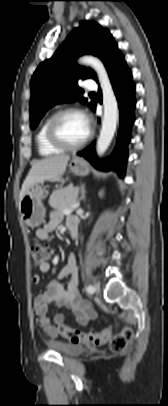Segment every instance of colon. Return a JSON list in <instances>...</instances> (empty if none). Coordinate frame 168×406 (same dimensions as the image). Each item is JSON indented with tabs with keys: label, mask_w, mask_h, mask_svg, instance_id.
I'll use <instances>...</instances> for the list:
<instances>
[{
	"label": "colon",
	"mask_w": 168,
	"mask_h": 406,
	"mask_svg": "<svg viewBox=\"0 0 168 406\" xmlns=\"http://www.w3.org/2000/svg\"><path fill=\"white\" fill-rule=\"evenodd\" d=\"M50 256V249L48 246L40 243L33 242L31 245V259L34 265L42 266L47 263ZM56 329L58 332L73 343H91L94 345L105 344L110 339V348L115 353L123 352L132 335L133 331L129 327L123 328L119 333L111 336L110 330L105 329L102 332H85L75 329L64 323H57Z\"/></svg>",
	"instance_id": "5ec220e1"
}]
</instances>
